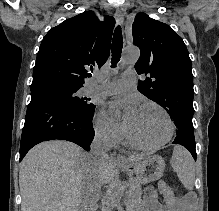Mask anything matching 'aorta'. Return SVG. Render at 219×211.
<instances>
[{
    "mask_svg": "<svg viewBox=\"0 0 219 211\" xmlns=\"http://www.w3.org/2000/svg\"><path fill=\"white\" fill-rule=\"evenodd\" d=\"M140 56V51L136 47H127L122 55L121 61L122 64H131L135 63ZM124 189L123 186L118 183L114 184L106 199V208L111 211L112 209L118 207L120 205L121 198L123 196Z\"/></svg>",
    "mask_w": 219,
    "mask_h": 211,
    "instance_id": "obj_1",
    "label": "aorta"
}]
</instances>
